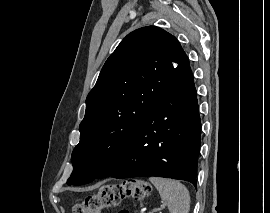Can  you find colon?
Masks as SVG:
<instances>
[{
  "mask_svg": "<svg viewBox=\"0 0 270 213\" xmlns=\"http://www.w3.org/2000/svg\"><path fill=\"white\" fill-rule=\"evenodd\" d=\"M150 193V185L141 179H128L121 183L108 184L101 187L96 194L88 196L82 203L75 204L72 213H100L105 208L118 206L125 197L140 200ZM119 213H129V211L121 209Z\"/></svg>",
  "mask_w": 270,
  "mask_h": 213,
  "instance_id": "colon-1",
  "label": "colon"
}]
</instances>
